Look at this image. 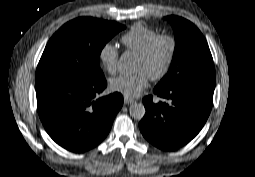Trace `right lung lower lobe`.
Segmentation results:
<instances>
[{"mask_svg":"<svg viewBox=\"0 0 255 177\" xmlns=\"http://www.w3.org/2000/svg\"><path fill=\"white\" fill-rule=\"evenodd\" d=\"M107 82L46 79L36 83L40 119L50 137L63 148L84 152L109 133L123 105L120 93L95 99Z\"/></svg>","mask_w":255,"mask_h":177,"instance_id":"right-lung-lower-lobe-1","label":"right lung lower lobe"}]
</instances>
